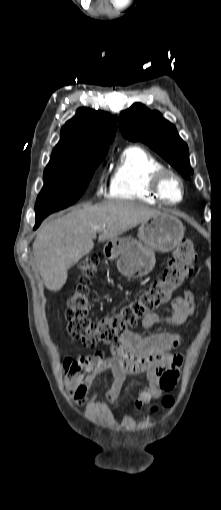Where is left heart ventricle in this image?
<instances>
[{
	"instance_id": "1",
	"label": "left heart ventricle",
	"mask_w": 221,
	"mask_h": 510,
	"mask_svg": "<svg viewBox=\"0 0 221 510\" xmlns=\"http://www.w3.org/2000/svg\"><path fill=\"white\" fill-rule=\"evenodd\" d=\"M163 193L170 201H178L181 198L179 184L172 178H168L163 184Z\"/></svg>"
}]
</instances>
